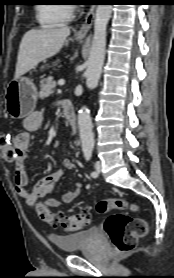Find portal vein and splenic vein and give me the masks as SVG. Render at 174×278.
I'll use <instances>...</instances> for the list:
<instances>
[{
	"instance_id": "1",
	"label": "portal vein and splenic vein",
	"mask_w": 174,
	"mask_h": 278,
	"mask_svg": "<svg viewBox=\"0 0 174 278\" xmlns=\"http://www.w3.org/2000/svg\"><path fill=\"white\" fill-rule=\"evenodd\" d=\"M64 83H65L64 81H59V85H60V86H63Z\"/></svg>"
}]
</instances>
